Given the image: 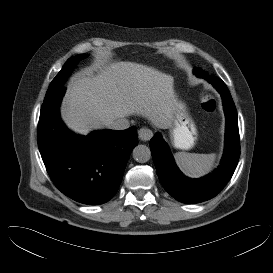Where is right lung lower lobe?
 <instances>
[{"label": "right lung lower lobe", "mask_w": 273, "mask_h": 273, "mask_svg": "<svg viewBox=\"0 0 273 273\" xmlns=\"http://www.w3.org/2000/svg\"><path fill=\"white\" fill-rule=\"evenodd\" d=\"M62 87L42 104L37 141L47 172L55 186L69 198L100 205L117 192L133 148L137 128L72 134L62 123L59 106Z\"/></svg>", "instance_id": "98d812e1"}]
</instances>
